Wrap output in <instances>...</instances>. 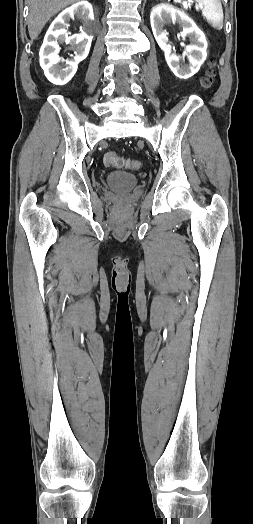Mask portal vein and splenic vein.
Here are the masks:
<instances>
[{
    "instance_id": "portal-vein-and-splenic-vein-1",
    "label": "portal vein and splenic vein",
    "mask_w": 253,
    "mask_h": 524,
    "mask_svg": "<svg viewBox=\"0 0 253 524\" xmlns=\"http://www.w3.org/2000/svg\"><path fill=\"white\" fill-rule=\"evenodd\" d=\"M188 6H190V2H189V1H188V2L185 1V2H184V7L187 8ZM195 7H196V9H203V6H202V5H196Z\"/></svg>"
}]
</instances>
